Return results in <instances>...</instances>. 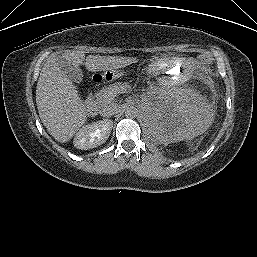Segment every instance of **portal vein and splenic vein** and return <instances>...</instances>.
<instances>
[{
	"label": "portal vein and splenic vein",
	"mask_w": 257,
	"mask_h": 257,
	"mask_svg": "<svg viewBox=\"0 0 257 257\" xmlns=\"http://www.w3.org/2000/svg\"><path fill=\"white\" fill-rule=\"evenodd\" d=\"M124 90H125L124 88L117 89V90L114 92V96H116V94H118V93L123 92Z\"/></svg>",
	"instance_id": "obj_1"
}]
</instances>
